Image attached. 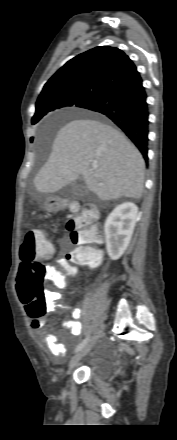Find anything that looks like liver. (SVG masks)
Returning a JSON list of instances; mask_svg holds the SVG:
<instances>
[{
	"label": "liver",
	"mask_w": 177,
	"mask_h": 440,
	"mask_svg": "<svg viewBox=\"0 0 177 440\" xmlns=\"http://www.w3.org/2000/svg\"><path fill=\"white\" fill-rule=\"evenodd\" d=\"M144 170L142 155L123 133L99 120L76 119L58 131L34 183L40 193H55L82 176L103 201L138 199Z\"/></svg>",
	"instance_id": "6515ba94"
}]
</instances>
